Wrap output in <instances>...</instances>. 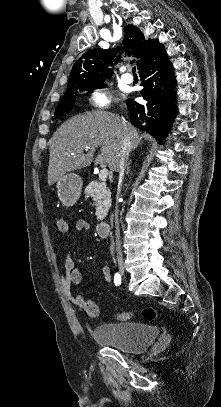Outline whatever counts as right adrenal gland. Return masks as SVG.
I'll use <instances>...</instances> for the list:
<instances>
[{"label":"right adrenal gland","instance_id":"obj_1","mask_svg":"<svg viewBox=\"0 0 221 407\" xmlns=\"http://www.w3.org/2000/svg\"><path fill=\"white\" fill-rule=\"evenodd\" d=\"M129 164H130V163H128V166H127V174H128L129 171H130V170H129Z\"/></svg>","mask_w":221,"mask_h":407}]
</instances>
